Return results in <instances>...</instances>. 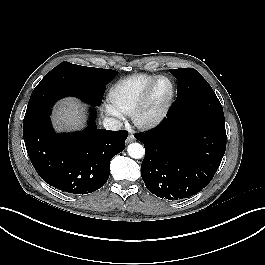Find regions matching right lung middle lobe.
<instances>
[{"instance_id": "obj_1", "label": "right lung middle lobe", "mask_w": 265, "mask_h": 265, "mask_svg": "<svg viewBox=\"0 0 265 265\" xmlns=\"http://www.w3.org/2000/svg\"><path fill=\"white\" fill-rule=\"evenodd\" d=\"M118 71L80 66L63 62L47 73L33 90L23 123L49 111L56 101L75 96L89 104L99 105L106 84Z\"/></svg>"}]
</instances>
